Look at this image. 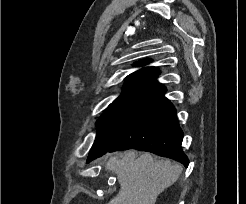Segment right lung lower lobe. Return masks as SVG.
Wrapping results in <instances>:
<instances>
[{
    "label": "right lung lower lobe",
    "mask_w": 246,
    "mask_h": 204,
    "mask_svg": "<svg viewBox=\"0 0 246 204\" xmlns=\"http://www.w3.org/2000/svg\"><path fill=\"white\" fill-rule=\"evenodd\" d=\"M165 92L162 86L130 106L108 152L134 148L188 166L189 160L181 149L183 132L174 106L164 97ZM98 157L88 158L87 162Z\"/></svg>",
    "instance_id": "98d812e1"
}]
</instances>
